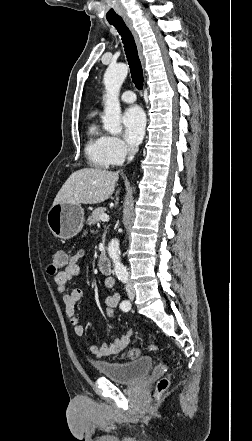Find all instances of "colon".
<instances>
[{
	"mask_svg": "<svg viewBox=\"0 0 252 441\" xmlns=\"http://www.w3.org/2000/svg\"><path fill=\"white\" fill-rule=\"evenodd\" d=\"M69 260H70L69 255L65 250L63 249L56 250L52 255L51 262L48 266V272L50 274L57 273L59 270L65 268L68 265ZM115 310L116 307L112 305H105L102 311V315L104 318L110 319L115 315ZM158 349L159 348L157 345L150 346L151 351H157ZM139 354H140V350L138 348L132 347L122 352L120 354V357L123 359L125 358L135 359L139 356ZM167 386H168V380L165 378L161 379L157 384V392L160 394L167 388Z\"/></svg>",
	"mask_w": 252,
	"mask_h": 441,
	"instance_id": "5ec220e1",
	"label": "colon"
}]
</instances>
